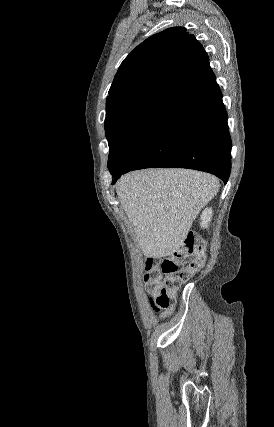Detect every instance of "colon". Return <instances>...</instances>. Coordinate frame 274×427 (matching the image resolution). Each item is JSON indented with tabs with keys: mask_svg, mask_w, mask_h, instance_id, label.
<instances>
[{
	"mask_svg": "<svg viewBox=\"0 0 274 427\" xmlns=\"http://www.w3.org/2000/svg\"><path fill=\"white\" fill-rule=\"evenodd\" d=\"M180 240L183 242L181 250L160 257H148L144 263L146 286L153 293L150 303L156 313L170 306L180 282L203 268L206 261V244L203 240L196 241L191 232L181 235Z\"/></svg>",
	"mask_w": 274,
	"mask_h": 427,
	"instance_id": "colon-1",
	"label": "colon"
}]
</instances>
